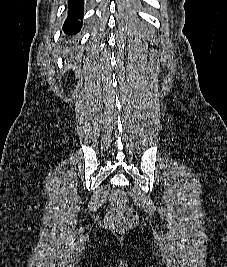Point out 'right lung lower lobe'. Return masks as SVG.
<instances>
[{
	"mask_svg": "<svg viewBox=\"0 0 227 267\" xmlns=\"http://www.w3.org/2000/svg\"><path fill=\"white\" fill-rule=\"evenodd\" d=\"M84 0H68V16L63 25V31L67 35H73L80 31L83 19Z\"/></svg>",
	"mask_w": 227,
	"mask_h": 267,
	"instance_id": "right-lung-lower-lobe-1",
	"label": "right lung lower lobe"
}]
</instances>
